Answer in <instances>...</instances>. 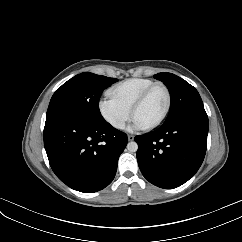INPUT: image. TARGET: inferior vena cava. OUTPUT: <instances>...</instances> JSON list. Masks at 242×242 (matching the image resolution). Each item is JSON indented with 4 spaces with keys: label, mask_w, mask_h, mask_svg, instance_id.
<instances>
[{
    "label": "inferior vena cava",
    "mask_w": 242,
    "mask_h": 242,
    "mask_svg": "<svg viewBox=\"0 0 242 242\" xmlns=\"http://www.w3.org/2000/svg\"><path fill=\"white\" fill-rule=\"evenodd\" d=\"M123 127H124V124H120V125H119V128H123Z\"/></svg>",
    "instance_id": "602c4592"
}]
</instances>
